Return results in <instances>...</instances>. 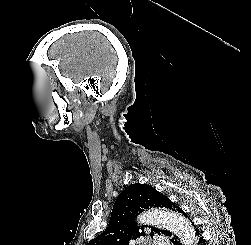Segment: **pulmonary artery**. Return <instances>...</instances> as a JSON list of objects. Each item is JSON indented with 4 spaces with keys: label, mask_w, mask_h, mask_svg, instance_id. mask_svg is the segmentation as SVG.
<instances>
[{
    "label": "pulmonary artery",
    "mask_w": 251,
    "mask_h": 245,
    "mask_svg": "<svg viewBox=\"0 0 251 245\" xmlns=\"http://www.w3.org/2000/svg\"><path fill=\"white\" fill-rule=\"evenodd\" d=\"M154 245H168V242L164 238H155Z\"/></svg>",
    "instance_id": "pulmonary-artery-1"
}]
</instances>
